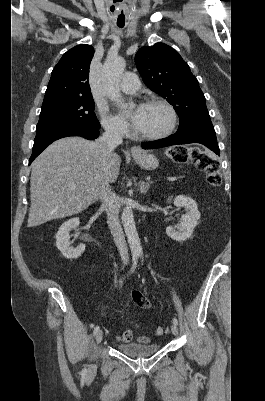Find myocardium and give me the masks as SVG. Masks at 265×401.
<instances>
[{"label": "myocardium", "instance_id": "f54148a6", "mask_svg": "<svg viewBox=\"0 0 265 401\" xmlns=\"http://www.w3.org/2000/svg\"><path fill=\"white\" fill-rule=\"evenodd\" d=\"M146 105H158L164 108L168 113V121L166 125L163 128H161L158 132L153 134L139 135L138 138L143 140H155L170 133L174 129L177 122V113L173 108V106L167 101L158 98L148 100Z\"/></svg>", "mask_w": 265, "mask_h": 401}]
</instances>
